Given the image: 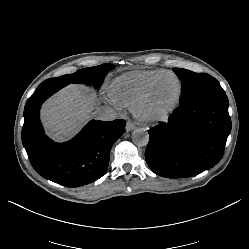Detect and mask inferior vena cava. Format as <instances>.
Wrapping results in <instances>:
<instances>
[{
	"instance_id": "obj_1",
	"label": "inferior vena cava",
	"mask_w": 249,
	"mask_h": 249,
	"mask_svg": "<svg viewBox=\"0 0 249 249\" xmlns=\"http://www.w3.org/2000/svg\"><path fill=\"white\" fill-rule=\"evenodd\" d=\"M94 115L97 120L101 121H113L117 119V112L110 106L100 108Z\"/></svg>"
}]
</instances>
